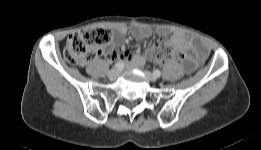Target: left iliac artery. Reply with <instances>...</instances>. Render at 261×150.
I'll use <instances>...</instances> for the list:
<instances>
[{
    "mask_svg": "<svg viewBox=\"0 0 261 150\" xmlns=\"http://www.w3.org/2000/svg\"><path fill=\"white\" fill-rule=\"evenodd\" d=\"M153 75H155L156 77H160L161 76V71L160 70H155L153 72Z\"/></svg>",
    "mask_w": 261,
    "mask_h": 150,
    "instance_id": "44dca946",
    "label": "left iliac artery"
}]
</instances>
